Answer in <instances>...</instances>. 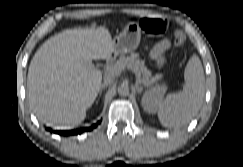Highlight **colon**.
Instances as JSON below:
<instances>
[{
  "label": "colon",
  "instance_id": "5ec220e1",
  "mask_svg": "<svg viewBox=\"0 0 243 167\" xmlns=\"http://www.w3.org/2000/svg\"><path fill=\"white\" fill-rule=\"evenodd\" d=\"M140 27L149 35H161L171 32L172 39L177 46H183L186 40L185 34L181 30H173V23L164 18H142Z\"/></svg>",
  "mask_w": 243,
  "mask_h": 167
}]
</instances>
